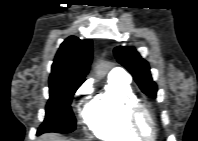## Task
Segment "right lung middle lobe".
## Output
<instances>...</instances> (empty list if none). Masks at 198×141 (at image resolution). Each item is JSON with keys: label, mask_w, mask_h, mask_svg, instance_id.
Returning <instances> with one entry per match:
<instances>
[{"label": "right lung middle lobe", "mask_w": 198, "mask_h": 141, "mask_svg": "<svg viewBox=\"0 0 198 141\" xmlns=\"http://www.w3.org/2000/svg\"><path fill=\"white\" fill-rule=\"evenodd\" d=\"M83 82H49L50 99L46 105V116L37 135L46 132L69 133L75 130L76 119L71 109L74 93Z\"/></svg>", "instance_id": "dd1d6c3e"}]
</instances>
